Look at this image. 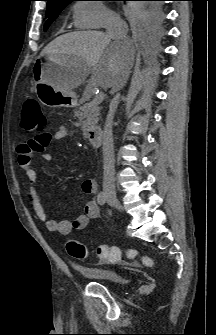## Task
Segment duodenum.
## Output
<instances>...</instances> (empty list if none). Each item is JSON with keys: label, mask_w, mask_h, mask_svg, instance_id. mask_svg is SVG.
I'll return each instance as SVG.
<instances>
[{"label": "duodenum", "mask_w": 216, "mask_h": 335, "mask_svg": "<svg viewBox=\"0 0 216 335\" xmlns=\"http://www.w3.org/2000/svg\"><path fill=\"white\" fill-rule=\"evenodd\" d=\"M87 138L93 147H100L102 143V129L100 127L91 128L87 133Z\"/></svg>", "instance_id": "duodenum-1"}]
</instances>
